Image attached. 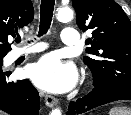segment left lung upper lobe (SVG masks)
Returning <instances> with one entry per match:
<instances>
[{
  "mask_svg": "<svg viewBox=\"0 0 131 115\" xmlns=\"http://www.w3.org/2000/svg\"><path fill=\"white\" fill-rule=\"evenodd\" d=\"M76 23L83 31L92 29L84 58L91 69L94 86L131 90V22L114 0H73Z\"/></svg>",
  "mask_w": 131,
  "mask_h": 115,
  "instance_id": "5c2ea615",
  "label": "left lung upper lobe"
}]
</instances>
